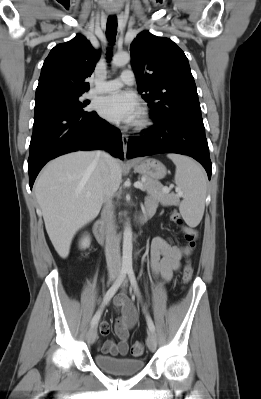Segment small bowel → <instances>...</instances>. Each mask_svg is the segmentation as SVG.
I'll return each mask as SVG.
<instances>
[{"instance_id":"1","label":"small bowel","mask_w":261,"mask_h":399,"mask_svg":"<svg viewBox=\"0 0 261 399\" xmlns=\"http://www.w3.org/2000/svg\"><path fill=\"white\" fill-rule=\"evenodd\" d=\"M158 201L154 196H148L145 200V209L155 210ZM185 233L192 232L197 236V231L191 227H184ZM190 253L187 246L171 245L162 238H154L150 248V264L154 274L160 275L165 280L171 279L174 272L180 268L181 260ZM115 306L120 313L115 322V333L119 339L118 343L111 340L100 344V350L103 354L113 356L126 355L129 349V332L136 324L137 312L133 304L125 294H119L114 300ZM100 334L107 336L110 334L109 323L101 321L99 327Z\"/></svg>"}]
</instances>
